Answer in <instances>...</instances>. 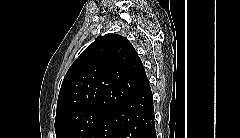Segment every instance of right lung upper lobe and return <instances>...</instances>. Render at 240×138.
Masks as SVG:
<instances>
[{
    "instance_id": "obj_1",
    "label": "right lung upper lobe",
    "mask_w": 240,
    "mask_h": 138,
    "mask_svg": "<svg viewBox=\"0 0 240 138\" xmlns=\"http://www.w3.org/2000/svg\"><path fill=\"white\" fill-rule=\"evenodd\" d=\"M148 86L133 45L121 35H104L89 45L67 71L56 119L86 109L108 111Z\"/></svg>"
}]
</instances>
